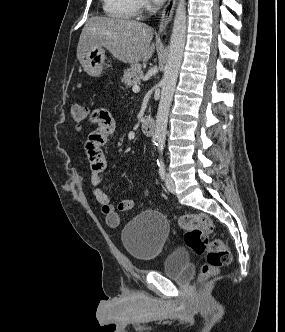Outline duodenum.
Here are the masks:
<instances>
[{
	"label": "duodenum",
	"instance_id": "obj_1",
	"mask_svg": "<svg viewBox=\"0 0 285 332\" xmlns=\"http://www.w3.org/2000/svg\"><path fill=\"white\" fill-rule=\"evenodd\" d=\"M142 131L144 135L151 137L155 133V121L151 117H145L142 121Z\"/></svg>",
	"mask_w": 285,
	"mask_h": 332
}]
</instances>
